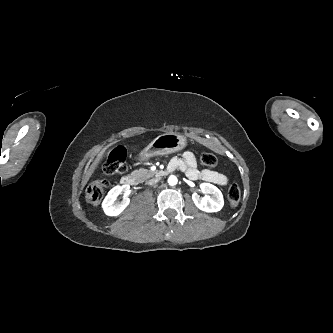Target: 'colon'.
I'll list each match as a JSON object with an SVG mask.
<instances>
[{"label":"colon","instance_id":"5ec220e1","mask_svg":"<svg viewBox=\"0 0 333 333\" xmlns=\"http://www.w3.org/2000/svg\"><path fill=\"white\" fill-rule=\"evenodd\" d=\"M126 149L117 147L109 155L104 164V171L107 174L121 173L125 170ZM202 165L208 168H216L218 166L217 158L208 152H203L200 155ZM108 184L105 181H94L86 189V199L92 205H98L102 200ZM241 197L240 188L237 184H231L227 190V201L231 207H235Z\"/></svg>","mask_w":333,"mask_h":333}]
</instances>
